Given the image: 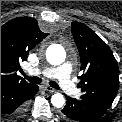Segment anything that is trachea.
<instances>
[{"label": "trachea", "instance_id": "trachea-1", "mask_svg": "<svg viewBox=\"0 0 122 122\" xmlns=\"http://www.w3.org/2000/svg\"><path fill=\"white\" fill-rule=\"evenodd\" d=\"M24 77L30 82V83H33V84H40L42 82V79L39 78V77H29L25 74H23ZM49 85L55 89H60L59 85L54 82V81H50L49 82Z\"/></svg>", "mask_w": 122, "mask_h": 122}]
</instances>
